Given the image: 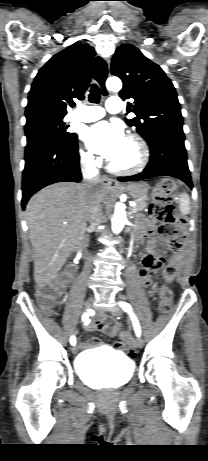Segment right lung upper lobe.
Returning a JSON list of instances; mask_svg holds the SVG:
<instances>
[{
    "label": "right lung upper lobe",
    "instance_id": "obj_1",
    "mask_svg": "<svg viewBox=\"0 0 208 461\" xmlns=\"http://www.w3.org/2000/svg\"><path fill=\"white\" fill-rule=\"evenodd\" d=\"M94 56L93 47L76 42L49 59L32 83L25 115L65 116L73 98H84Z\"/></svg>",
    "mask_w": 208,
    "mask_h": 461
}]
</instances>
